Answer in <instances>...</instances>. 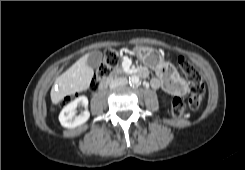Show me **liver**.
<instances>
[{"instance_id": "obj_1", "label": "liver", "mask_w": 245, "mask_h": 170, "mask_svg": "<svg viewBox=\"0 0 245 170\" xmlns=\"http://www.w3.org/2000/svg\"><path fill=\"white\" fill-rule=\"evenodd\" d=\"M89 54H85L55 81L51 90V101L56 104L64 97L89 88L94 71L88 66Z\"/></svg>"}]
</instances>
